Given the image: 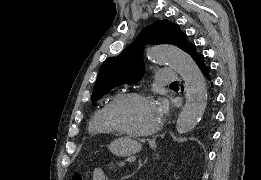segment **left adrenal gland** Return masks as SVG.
I'll return each mask as SVG.
<instances>
[{
    "mask_svg": "<svg viewBox=\"0 0 261 180\" xmlns=\"http://www.w3.org/2000/svg\"><path fill=\"white\" fill-rule=\"evenodd\" d=\"M146 162V160H145ZM145 162H142V160H138V168L136 170V172H138V170H140V168H142V166H144ZM136 172H134V174H136ZM134 174H130V176H127V178H133Z\"/></svg>",
    "mask_w": 261,
    "mask_h": 180,
    "instance_id": "1",
    "label": "left adrenal gland"
}]
</instances>
